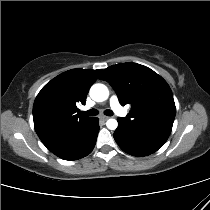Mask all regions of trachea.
Masks as SVG:
<instances>
[{"label": "trachea", "mask_w": 210, "mask_h": 210, "mask_svg": "<svg viewBox=\"0 0 210 210\" xmlns=\"http://www.w3.org/2000/svg\"><path fill=\"white\" fill-rule=\"evenodd\" d=\"M98 113L99 112L96 109H90L88 111L81 112L82 115H86V116H95ZM104 114L107 115V116H112L113 115V111H111V110L108 109V110H105L104 111Z\"/></svg>", "instance_id": "3493384b"}]
</instances>
